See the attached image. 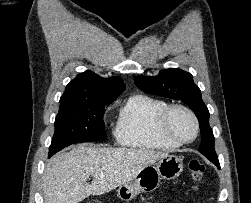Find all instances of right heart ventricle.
I'll return each mask as SVG.
<instances>
[{
	"label": "right heart ventricle",
	"mask_w": 251,
	"mask_h": 203,
	"mask_svg": "<svg viewBox=\"0 0 251 203\" xmlns=\"http://www.w3.org/2000/svg\"><path fill=\"white\" fill-rule=\"evenodd\" d=\"M168 104L144 95L130 97L122 107L115 130L117 142L143 150H171L179 145L163 138L157 129L160 113Z\"/></svg>",
	"instance_id": "right-heart-ventricle-1"
}]
</instances>
